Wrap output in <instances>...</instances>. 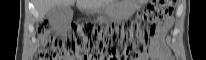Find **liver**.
I'll return each instance as SVG.
<instances>
[{
    "label": "liver",
    "mask_w": 206,
    "mask_h": 60,
    "mask_svg": "<svg viewBox=\"0 0 206 60\" xmlns=\"http://www.w3.org/2000/svg\"><path fill=\"white\" fill-rule=\"evenodd\" d=\"M92 1L93 0H36V9L40 18H43L47 14V12L54 6H70L73 5L75 2H77L79 6H84L92 3Z\"/></svg>",
    "instance_id": "1"
}]
</instances>
